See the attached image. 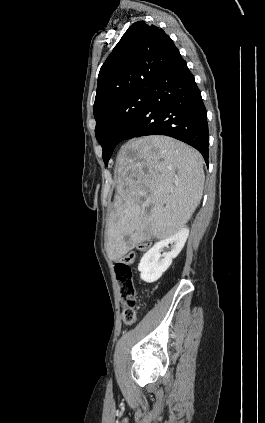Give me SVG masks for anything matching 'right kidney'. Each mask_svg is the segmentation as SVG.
Listing matches in <instances>:
<instances>
[{"instance_id": "right-kidney-1", "label": "right kidney", "mask_w": 265, "mask_h": 423, "mask_svg": "<svg viewBox=\"0 0 265 423\" xmlns=\"http://www.w3.org/2000/svg\"><path fill=\"white\" fill-rule=\"evenodd\" d=\"M188 236L189 229L182 228L174 235L157 242L150 250H148L138 265L141 279L146 283H153L157 281L169 268L172 263V259L176 258L181 252ZM169 244H171L172 247L171 251L165 253L161 259V252L163 248L167 247Z\"/></svg>"}]
</instances>
